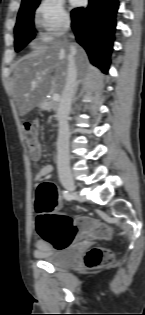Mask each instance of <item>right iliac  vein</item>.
I'll return each mask as SVG.
<instances>
[{
    "label": "right iliac vein",
    "mask_w": 145,
    "mask_h": 315,
    "mask_svg": "<svg viewBox=\"0 0 145 315\" xmlns=\"http://www.w3.org/2000/svg\"><path fill=\"white\" fill-rule=\"evenodd\" d=\"M61 183L67 190H69L73 194H76V185H75L73 180H71V179H63L61 181Z\"/></svg>",
    "instance_id": "right-iliac-vein-1"
}]
</instances>
